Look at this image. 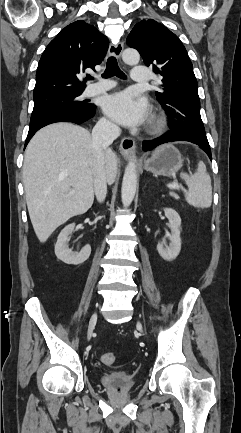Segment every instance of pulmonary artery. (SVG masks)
<instances>
[{
    "label": "pulmonary artery",
    "mask_w": 241,
    "mask_h": 433,
    "mask_svg": "<svg viewBox=\"0 0 241 433\" xmlns=\"http://www.w3.org/2000/svg\"><path fill=\"white\" fill-rule=\"evenodd\" d=\"M150 79V72L145 66H134L131 73V81L135 84L147 83ZM113 83L104 81L101 83L88 86L85 91V96H93L110 89Z\"/></svg>",
    "instance_id": "pulmonary-artery-1"
}]
</instances>
